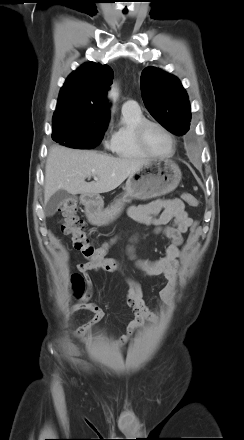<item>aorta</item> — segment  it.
<instances>
[{"mask_svg":"<svg viewBox=\"0 0 244 440\" xmlns=\"http://www.w3.org/2000/svg\"><path fill=\"white\" fill-rule=\"evenodd\" d=\"M118 96H119L118 88L116 86H112L111 90L108 92V98L112 102H115L117 100Z\"/></svg>","mask_w":244,"mask_h":440,"instance_id":"obj_1","label":"aorta"}]
</instances>
